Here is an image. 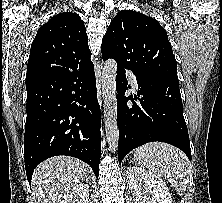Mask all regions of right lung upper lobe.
Returning <instances> with one entry per match:
<instances>
[{
  "label": "right lung upper lobe",
  "mask_w": 222,
  "mask_h": 203,
  "mask_svg": "<svg viewBox=\"0 0 222 203\" xmlns=\"http://www.w3.org/2000/svg\"><path fill=\"white\" fill-rule=\"evenodd\" d=\"M83 21L72 12L52 17L32 42L26 85L55 74L83 71L93 66Z\"/></svg>",
  "instance_id": "obj_1"
}]
</instances>
